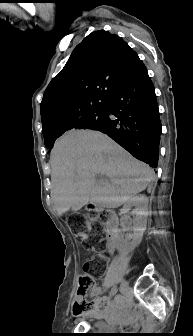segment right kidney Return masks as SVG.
I'll return each mask as SVG.
<instances>
[{
  "label": "right kidney",
  "instance_id": "right-kidney-1",
  "mask_svg": "<svg viewBox=\"0 0 193 336\" xmlns=\"http://www.w3.org/2000/svg\"><path fill=\"white\" fill-rule=\"evenodd\" d=\"M135 207L133 214V234L132 249H134L141 241L146 230L148 217V198L145 195H137L129 198L123 205V211L128 212Z\"/></svg>",
  "mask_w": 193,
  "mask_h": 336
}]
</instances>
